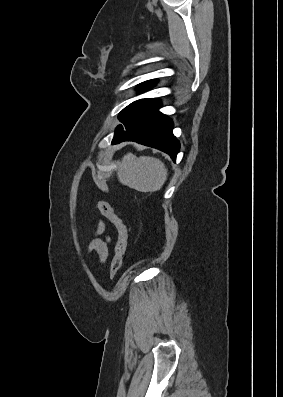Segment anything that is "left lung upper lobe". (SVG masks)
I'll list each match as a JSON object with an SVG mask.
<instances>
[{
  "mask_svg": "<svg viewBox=\"0 0 283 397\" xmlns=\"http://www.w3.org/2000/svg\"><path fill=\"white\" fill-rule=\"evenodd\" d=\"M154 85L155 81L149 80L139 84V88L143 91ZM158 104H160V101L157 99H140L129 104L119 113L118 118L123 125L117 126L114 136L122 134L126 129L131 127L136 120Z\"/></svg>",
  "mask_w": 283,
  "mask_h": 397,
  "instance_id": "obj_1",
  "label": "left lung upper lobe"
}]
</instances>
